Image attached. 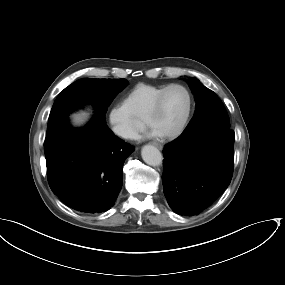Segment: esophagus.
Masks as SVG:
<instances>
[{"mask_svg":"<svg viewBox=\"0 0 285 285\" xmlns=\"http://www.w3.org/2000/svg\"><path fill=\"white\" fill-rule=\"evenodd\" d=\"M153 145H155L157 148H159L160 150H162L163 146L159 143L154 142Z\"/></svg>","mask_w":285,"mask_h":285,"instance_id":"34e87169","label":"esophagus"}]
</instances>
